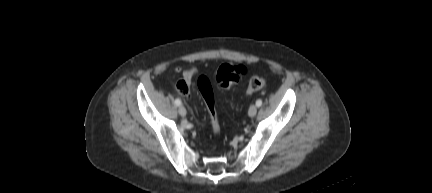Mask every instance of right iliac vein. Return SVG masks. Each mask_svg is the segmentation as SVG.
<instances>
[{
    "label": "right iliac vein",
    "mask_w": 432,
    "mask_h": 193,
    "mask_svg": "<svg viewBox=\"0 0 432 193\" xmlns=\"http://www.w3.org/2000/svg\"><path fill=\"white\" fill-rule=\"evenodd\" d=\"M178 112L181 116H185L187 113L186 108L182 105L179 107Z\"/></svg>",
    "instance_id": "right-iliac-vein-1"
}]
</instances>
